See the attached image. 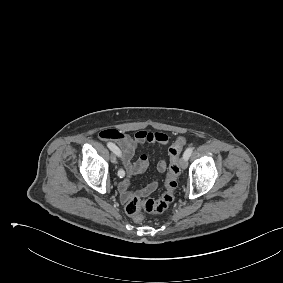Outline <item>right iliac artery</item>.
<instances>
[{
	"label": "right iliac artery",
	"mask_w": 283,
	"mask_h": 283,
	"mask_svg": "<svg viewBox=\"0 0 283 283\" xmlns=\"http://www.w3.org/2000/svg\"><path fill=\"white\" fill-rule=\"evenodd\" d=\"M107 146H108V148H109L114 154H116L117 156L120 155V150H119V148H118L114 143L108 142V143H107ZM121 174H124V173H123L122 170H119V171H118V176H120Z\"/></svg>",
	"instance_id": "82829eb1"
}]
</instances>
